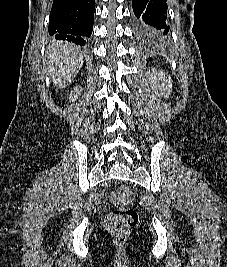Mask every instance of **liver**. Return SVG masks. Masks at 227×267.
<instances>
[{
  "mask_svg": "<svg viewBox=\"0 0 227 267\" xmlns=\"http://www.w3.org/2000/svg\"><path fill=\"white\" fill-rule=\"evenodd\" d=\"M48 72L58 89L65 88L83 65L80 47L67 42H52L47 48Z\"/></svg>",
  "mask_w": 227,
  "mask_h": 267,
  "instance_id": "1",
  "label": "liver"
}]
</instances>
